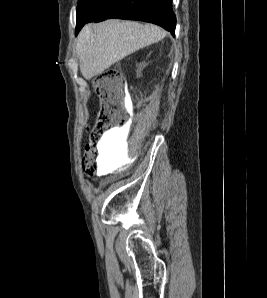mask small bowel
Masks as SVG:
<instances>
[{"label": "small bowel", "mask_w": 267, "mask_h": 298, "mask_svg": "<svg viewBox=\"0 0 267 298\" xmlns=\"http://www.w3.org/2000/svg\"><path fill=\"white\" fill-rule=\"evenodd\" d=\"M117 137H118V131L116 130L109 131L106 135V139L108 143L114 142Z\"/></svg>", "instance_id": "small-bowel-1"}]
</instances>
